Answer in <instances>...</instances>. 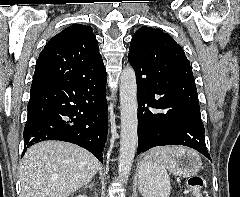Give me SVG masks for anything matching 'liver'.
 Masks as SVG:
<instances>
[{
  "label": "liver",
  "instance_id": "liver-1",
  "mask_svg": "<svg viewBox=\"0 0 240 197\" xmlns=\"http://www.w3.org/2000/svg\"><path fill=\"white\" fill-rule=\"evenodd\" d=\"M98 160L86 149L62 141L31 146L20 166V197H68L97 173Z\"/></svg>",
  "mask_w": 240,
  "mask_h": 197
}]
</instances>
